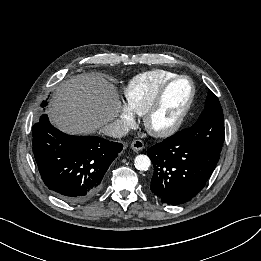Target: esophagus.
<instances>
[{"label":"esophagus","instance_id":"34e87169","mask_svg":"<svg viewBox=\"0 0 261 261\" xmlns=\"http://www.w3.org/2000/svg\"><path fill=\"white\" fill-rule=\"evenodd\" d=\"M131 148L135 151H140L144 148V143L141 140L136 139L131 143Z\"/></svg>","mask_w":261,"mask_h":261}]
</instances>
